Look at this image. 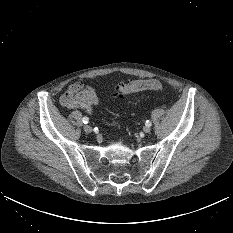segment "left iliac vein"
Instances as JSON below:
<instances>
[{"mask_svg":"<svg viewBox=\"0 0 233 233\" xmlns=\"http://www.w3.org/2000/svg\"><path fill=\"white\" fill-rule=\"evenodd\" d=\"M143 131H144L145 133H150V131H151L150 126H145V127L143 128Z\"/></svg>","mask_w":233,"mask_h":233,"instance_id":"4c4485c4","label":"left iliac vein"}]
</instances>
